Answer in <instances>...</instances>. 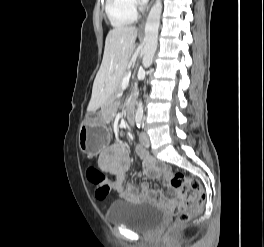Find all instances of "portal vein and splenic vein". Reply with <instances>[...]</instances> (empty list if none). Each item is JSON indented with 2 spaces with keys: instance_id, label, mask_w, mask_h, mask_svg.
<instances>
[{
  "instance_id": "1",
  "label": "portal vein and splenic vein",
  "mask_w": 264,
  "mask_h": 247,
  "mask_svg": "<svg viewBox=\"0 0 264 247\" xmlns=\"http://www.w3.org/2000/svg\"><path fill=\"white\" fill-rule=\"evenodd\" d=\"M129 81H130V76H126L122 79L121 82L122 89H124L129 84Z\"/></svg>"
}]
</instances>
